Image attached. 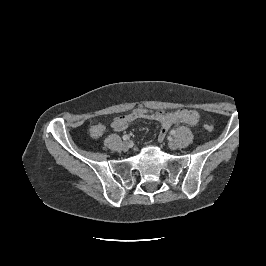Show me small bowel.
<instances>
[{"mask_svg": "<svg viewBox=\"0 0 266 266\" xmlns=\"http://www.w3.org/2000/svg\"><path fill=\"white\" fill-rule=\"evenodd\" d=\"M139 119L153 120L160 124L159 140L165 139L169 128L177 123H184L188 125H196L199 121V114L192 109H177L163 114H156L150 116H137L134 112L118 116L112 121V128L115 131H123L127 129L130 123ZM105 126L103 124H95L90 128V135L93 138H99L104 134Z\"/></svg>", "mask_w": 266, "mask_h": 266, "instance_id": "c3829d8e", "label": "small bowel"}]
</instances>
